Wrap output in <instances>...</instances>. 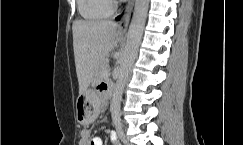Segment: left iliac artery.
Segmentation results:
<instances>
[{
  "mask_svg": "<svg viewBox=\"0 0 243 145\" xmlns=\"http://www.w3.org/2000/svg\"><path fill=\"white\" fill-rule=\"evenodd\" d=\"M116 129H117V133H118V136L119 138L125 142L126 141V138H125V134H124V131H123V128H122V125L121 123H116Z\"/></svg>",
  "mask_w": 243,
  "mask_h": 145,
  "instance_id": "44dca946",
  "label": "left iliac artery"
}]
</instances>
